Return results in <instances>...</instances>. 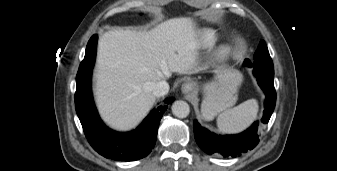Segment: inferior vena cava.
Masks as SVG:
<instances>
[{
  "label": "inferior vena cava",
  "mask_w": 337,
  "mask_h": 171,
  "mask_svg": "<svg viewBox=\"0 0 337 171\" xmlns=\"http://www.w3.org/2000/svg\"><path fill=\"white\" fill-rule=\"evenodd\" d=\"M151 91L156 97L164 96L169 91V84L165 80L152 83Z\"/></svg>",
  "instance_id": "inferior-vena-cava-1"
}]
</instances>
